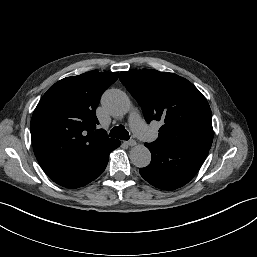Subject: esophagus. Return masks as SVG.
Masks as SVG:
<instances>
[{
	"instance_id": "esophagus-1",
	"label": "esophagus",
	"mask_w": 257,
	"mask_h": 257,
	"mask_svg": "<svg viewBox=\"0 0 257 257\" xmlns=\"http://www.w3.org/2000/svg\"><path fill=\"white\" fill-rule=\"evenodd\" d=\"M125 143H126L128 146H135V145H136V141H135V140H128V141H125Z\"/></svg>"
}]
</instances>
